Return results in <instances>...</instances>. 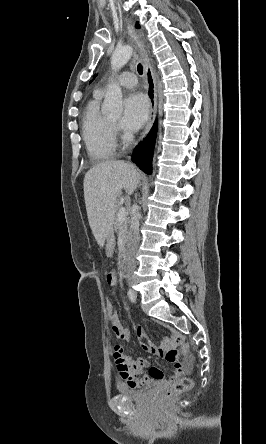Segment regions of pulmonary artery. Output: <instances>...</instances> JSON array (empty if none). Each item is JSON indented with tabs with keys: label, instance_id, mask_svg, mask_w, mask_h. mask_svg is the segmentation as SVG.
<instances>
[{
	"label": "pulmonary artery",
	"instance_id": "obj_1",
	"mask_svg": "<svg viewBox=\"0 0 266 444\" xmlns=\"http://www.w3.org/2000/svg\"><path fill=\"white\" fill-rule=\"evenodd\" d=\"M116 82L122 87L133 88L136 85L137 79L133 73L123 72L117 77ZM96 92L102 94L104 87L98 88Z\"/></svg>",
	"mask_w": 266,
	"mask_h": 444
}]
</instances>
